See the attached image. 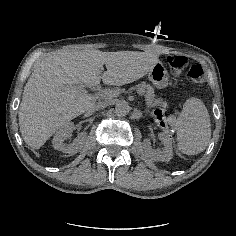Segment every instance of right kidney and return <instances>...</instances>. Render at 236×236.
<instances>
[{
  "mask_svg": "<svg viewBox=\"0 0 236 236\" xmlns=\"http://www.w3.org/2000/svg\"><path fill=\"white\" fill-rule=\"evenodd\" d=\"M73 124L67 123L62 129H60L52 141L53 147L66 153L68 155H75L79 153L85 146L88 134L86 132H78L77 138L70 145H65L63 141L68 138L72 132Z\"/></svg>",
  "mask_w": 236,
  "mask_h": 236,
  "instance_id": "ca27d5eb",
  "label": "right kidney"
}]
</instances>
